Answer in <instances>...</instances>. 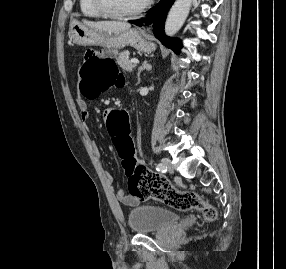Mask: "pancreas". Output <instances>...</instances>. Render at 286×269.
Segmentation results:
<instances>
[{
    "label": "pancreas",
    "mask_w": 286,
    "mask_h": 269,
    "mask_svg": "<svg viewBox=\"0 0 286 269\" xmlns=\"http://www.w3.org/2000/svg\"><path fill=\"white\" fill-rule=\"evenodd\" d=\"M117 63L125 71L131 72L135 68V64H133L129 59L128 52L120 53L119 56L117 57Z\"/></svg>",
    "instance_id": "pancreas-1"
}]
</instances>
